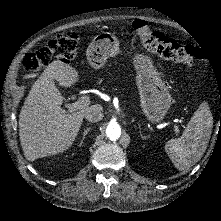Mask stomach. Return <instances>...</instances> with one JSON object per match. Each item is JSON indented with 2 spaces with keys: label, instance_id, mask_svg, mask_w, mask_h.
Masks as SVG:
<instances>
[{
  "label": "stomach",
  "instance_id": "0dacf381",
  "mask_svg": "<svg viewBox=\"0 0 221 221\" xmlns=\"http://www.w3.org/2000/svg\"><path fill=\"white\" fill-rule=\"evenodd\" d=\"M119 52L117 37L112 33L103 32L94 37L87 48L86 55L90 66L98 69L106 58L114 57ZM134 66L142 111L150 122H160L172 104L169 89L147 56L136 55Z\"/></svg>",
  "mask_w": 221,
  "mask_h": 221
}]
</instances>
